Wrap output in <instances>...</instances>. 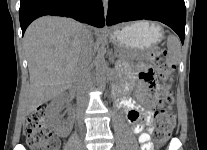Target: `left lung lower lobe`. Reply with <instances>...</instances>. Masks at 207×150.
I'll return each mask as SVG.
<instances>
[{
    "mask_svg": "<svg viewBox=\"0 0 207 150\" xmlns=\"http://www.w3.org/2000/svg\"><path fill=\"white\" fill-rule=\"evenodd\" d=\"M155 20L171 27L184 42V0H109L107 25L134 20Z\"/></svg>",
    "mask_w": 207,
    "mask_h": 150,
    "instance_id": "left-lung-lower-lobe-1",
    "label": "left lung lower lobe"
}]
</instances>
